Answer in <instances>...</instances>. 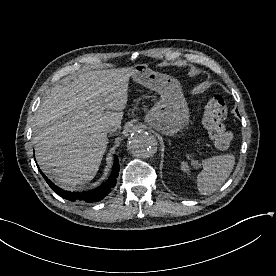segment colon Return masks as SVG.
<instances>
[{
	"mask_svg": "<svg viewBox=\"0 0 276 276\" xmlns=\"http://www.w3.org/2000/svg\"><path fill=\"white\" fill-rule=\"evenodd\" d=\"M227 113L228 107L225 99L221 95H215L207 102L202 117V124L209 137L221 150L227 149L233 138L231 132L223 124Z\"/></svg>",
	"mask_w": 276,
	"mask_h": 276,
	"instance_id": "obj_1",
	"label": "colon"
}]
</instances>
